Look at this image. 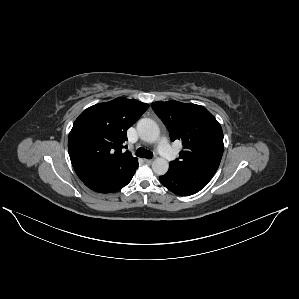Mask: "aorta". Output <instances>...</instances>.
<instances>
[{"mask_svg": "<svg viewBox=\"0 0 299 299\" xmlns=\"http://www.w3.org/2000/svg\"><path fill=\"white\" fill-rule=\"evenodd\" d=\"M137 132L139 137L148 143H154L159 138V128L155 121L149 118H143L137 123ZM152 169L157 175H164L169 169V163L166 159L158 157L152 163Z\"/></svg>", "mask_w": 299, "mask_h": 299, "instance_id": "1", "label": "aorta"}]
</instances>
